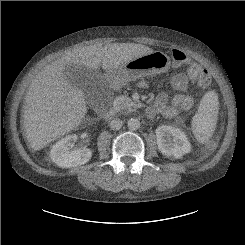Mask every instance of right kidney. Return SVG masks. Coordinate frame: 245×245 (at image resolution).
I'll use <instances>...</instances> for the list:
<instances>
[{
  "mask_svg": "<svg viewBox=\"0 0 245 245\" xmlns=\"http://www.w3.org/2000/svg\"><path fill=\"white\" fill-rule=\"evenodd\" d=\"M77 135H69L56 142L51 151V160L59 167L72 168L87 163L92 157L88 148H73Z\"/></svg>",
  "mask_w": 245,
  "mask_h": 245,
  "instance_id": "right-kidney-1",
  "label": "right kidney"
}]
</instances>
